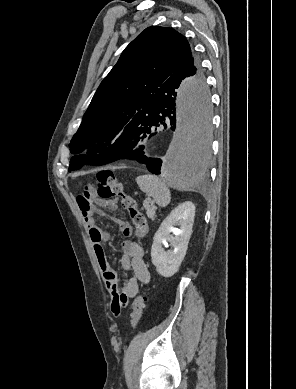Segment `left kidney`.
Wrapping results in <instances>:
<instances>
[{
  "label": "left kidney",
  "instance_id": "5707ae66",
  "mask_svg": "<svg viewBox=\"0 0 296 389\" xmlns=\"http://www.w3.org/2000/svg\"><path fill=\"white\" fill-rule=\"evenodd\" d=\"M194 216V204L189 201L183 202L169 214L155 233L151 260L161 276L171 277L178 271L186 255ZM177 225L180 228H176ZM163 246H171V249L165 251Z\"/></svg>",
  "mask_w": 296,
  "mask_h": 389
}]
</instances>
